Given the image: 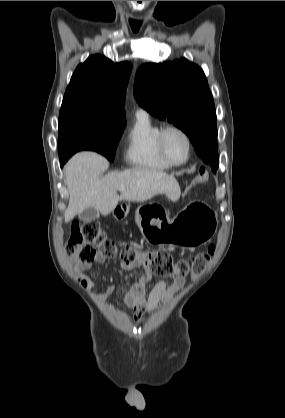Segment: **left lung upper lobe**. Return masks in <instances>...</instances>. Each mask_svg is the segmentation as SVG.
Wrapping results in <instances>:
<instances>
[{
	"instance_id": "1",
	"label": "left lung upper lobe",
	"mask_w": 285,
	"mask_h": 418,
	"mask_svg": "<svg viewBox=\"0 0 285 418\" xmlns=\"http://www.w3.org/2000/svg\"><path fill=\"white\" fill-rule=\"evenodd\" d=\"M134 96L150 114L185 132L199 157L218 168L216 110L198 65L185 58L144 64L135 76Z\"/></svg>"
}]
</instances>
